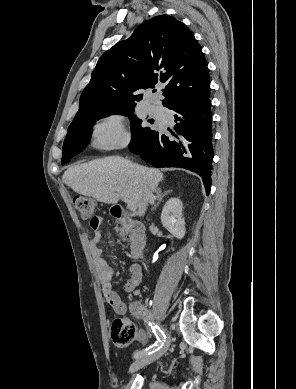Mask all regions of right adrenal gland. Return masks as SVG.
<instances>
[{
    "label": "right adrenal gland",
    "mask_w": 296,
    "mask_h": 389,
    "mask_svg": "<svg viewBox=\"0 0 296 389\" xmlns=\"http://www.w3.org/2000/svg\"><path fill=\"white\" fill-rule=\"evenodd\" d=\"M172 191L171 190H168V191H165L164 193L161 192L160 189H157L156 191V194H157V202L154 204V206L152 207V210H156V208L159 206V204L162 202L163 198L168 195L169 193H171Z\"/></svg>",
    "instance_id": "obj_1"
}]
</instances>
